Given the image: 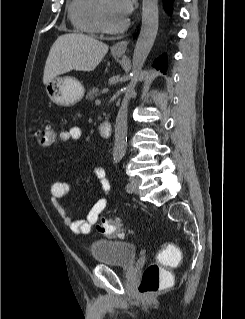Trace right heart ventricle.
Returning <instances> with one entry per match:
<instances>
[{"label":"right heart ventricle","mask_w":245,"mask_h":319,"mask_svg":"<svg viewBox=\"0 0 245 319\" xmlns=\"http://www.w3.org/2000/svg\"><path fill=\"white\" fill-rule=\"evenodd\" d=\"M99 0H71L68 15L74 27L85 34L101 33L98 20Z\"/></svg>","instance_id":"e07e8e85"}]
</instances>
